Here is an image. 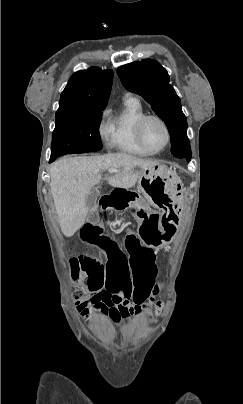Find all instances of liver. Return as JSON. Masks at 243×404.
<instances>
[{"mask_svg":"<svg viewBox=\"0 0 243 404\" xmlns=\"http://www.w3.org/2000/svg\"><path fill=\"white\" fill-rule=\"evenodd\" d=\"M156 164L124 152L56 160L50 168V188L62 234L71 238L83 226L87 216L86 198L93 186L99 184L103 172L117 170L114 176L107 178L108 184L129 190L135 186L142 170Z\"/></svg>","mask_w":243,"mask_h":404,"instance_id":"6515ba94","label":"liver"}]
</instances>
